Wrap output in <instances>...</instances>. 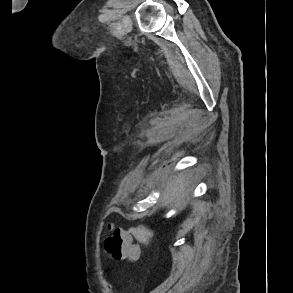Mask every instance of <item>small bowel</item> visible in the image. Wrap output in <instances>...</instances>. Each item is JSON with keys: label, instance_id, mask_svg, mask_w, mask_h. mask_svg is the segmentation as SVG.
Returning <instances> with one entry per match:
<instances>
[{"label": "small bowel", "instance_id": "c3829d8e", "mask_svg": "<svg viewBox=\"0 0 293 293\" xmlns=\"http://www.w3.org/2000/svg\"><path fill=\"white\" fill-rule=\"evenodd\" d=\"M101 279H102V281L106 284V286H107L108 288H110V284H109V282L107 281V279H106L103 275H101Z\"/></svg>", "mask_w": 293, "mask_h": 293}]
</instances>
